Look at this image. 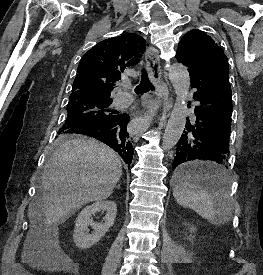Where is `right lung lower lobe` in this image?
<instances>
[{"mask_svg": "<svg viewBox=\"0 0 263 275\" xmlns=\"http://www.w3.org/2000/svg\"><path fill=\"white\" fill-rule=\"evenodd\" d=\"M128 122L127 114H119L104 121L76 125L66 132L93 137L112 147L126 164H130L133 158V146L126 130Z\"/></svg>", "mask_w": 263, "mask_h": 275, "instance_id": "right-lung-lower-lobe-1", "label": "right lung lower lobe"}]
</instances>
